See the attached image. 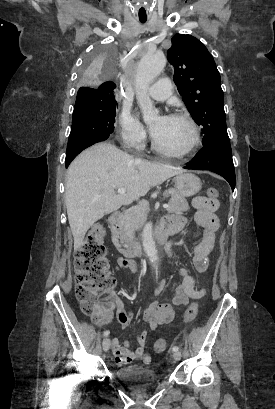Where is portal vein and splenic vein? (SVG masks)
Here are the masks:
<instances>
[{
    "mask_svg": "<svg viewBox=\"0 0 275 409\" xmlns=\"http://www.w3.org/2000/svg\"><path fill=\"white\" fill-rule=\"evenodd\" d=\"M117 192H120V194H125L126 188H118ZM139 200V198H137ZM164 209H169V205H163Z\"/></svg>",
    "mask_w": 275,
    "mask_h": 409,
    "instance_id": "18ae733b",
    "label": "portal vein and splenic vein"
}]
</instances>
